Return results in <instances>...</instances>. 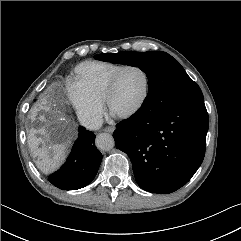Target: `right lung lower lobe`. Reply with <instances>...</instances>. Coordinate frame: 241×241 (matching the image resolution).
I'll return each instance as SVG.
<instances>
[{
    "label": "right lung lower lobe",
    "mask_w": 241,
    "mask_h": 241,
    "mask_svg": "<svg viewBox=\"0 0 241 241\" xmlns=\"http://www.w3.org/2000/svg\"><path fill=\"white\" fill-rule=\"evenodd\" d=\"M101 160L102 154L95 146V135L80 126L78 139L65 164L48 179L63 190L83 188L93 181Z\"/></svg>",
    "instance_id": "right-lung-lower-lobe-1"
}]
</instances>
